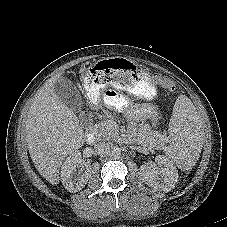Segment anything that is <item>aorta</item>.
Listing matches in <instances>:
<instances>
[{"label": "aorta", "mask_w": 227, "mask_h": 227, "mask_svg": "<svg viewBox=\"0 0 227 227\" xmlns=\"http://www.w3.org/2000/svg\"><path fill=\"white\" fill-rule=\"evenodd\" d=\"M121 154V148L119 146H113L111 148V155L114 157H118Z\"/></svg>", "instance_id": "1"}]
</instances>
